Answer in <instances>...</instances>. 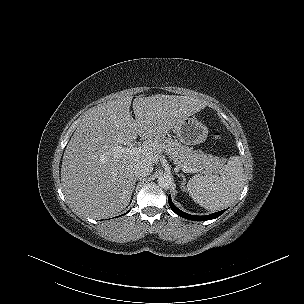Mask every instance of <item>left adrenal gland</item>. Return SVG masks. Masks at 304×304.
I'll use <instances>...</instances> for the list:
<instances>
[{"instance_id":"left-adrenal-gland-1","label":"left adrenal gland","mask_w":304,"mask_h":304,"mask_svg":"<svg viewBox=\"0 0 304 304\" xmlns=\"http://www.w3.org/2000/svg\"><path fill=\"white\" fill-rule=\"evenodd\" d=\"M179 176L182 178L181 189L184 191L185 190V184H186V178L183 174H180Z\"/></svg>"}]
</instances>
